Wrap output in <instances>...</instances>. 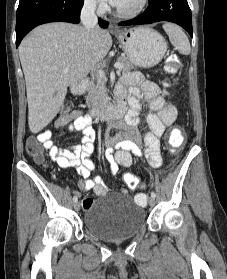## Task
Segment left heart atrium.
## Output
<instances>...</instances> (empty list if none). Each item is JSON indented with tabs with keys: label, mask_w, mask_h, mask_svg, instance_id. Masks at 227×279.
<instances>
[{
	"label": "left heart atrium",
	"mask_w": 227,
	"mask_h": 279,
	"mask_svg": "<svg viewBox=\"0 0 227 279\" xmlns=\"http://www.w3.org/2000/svg\"><path fill=\"white\" fill-rule=\"evenodd\" d=\"M110 4L117 6L121 0H107Z\"/></svg>",
	"instance_id": "1"
}]
</instances>
